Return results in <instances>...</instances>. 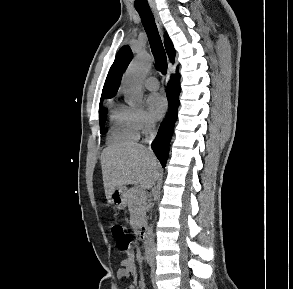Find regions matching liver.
Masks as SVG:
<instances>
[{
	"label": "liver",
	"instance_id": "6515ba94",
	"mask_svg": "<svg viewBox=\"0 0 293 289\" xmlns=\"http://www.w3.org/2000/svg\"><path fill=\"white\" fill-rule=\"evenodd\" d=\"M101 166L106 197L118 186L139 184L150 189L161 170L153 152L137 142L108 146L101 154Z\"/></svg>",
	"mask_w": 293,
	"mask_h": 289
}]
</instances>
